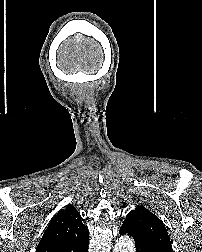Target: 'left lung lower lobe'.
Here are the masks:
<instances>
[{
  "label": "left lung lower lobe",
  "mask_w": 202,
  "mask_h": 252,
  "mask_svg": "<svg viewBox=\"0 0 202 252\" xmlns=\"http://www.w3.org/2000/svg\"><path fill=\"white\" fill-rule=\"evenodd\" d=\"M119 234H120V235L128 234V235H131V236H132V233H131L129 227H128V226H125V225H122V226H121L120 231H119ZM136 252H146V251L140 250V249H136Z\"/></svg>",
  "instance_id": "obj_1"
}]
</instances>
